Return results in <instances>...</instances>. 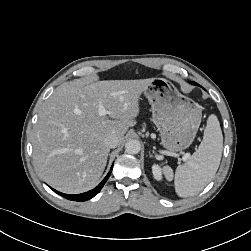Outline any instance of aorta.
I'll list each match as a JSON object with an SVG mask.
<instances>
[{
  "mask_svg": "<svg viewBox=\"0 0 251 251\" xmlns=\"http://www.w3.org/2000/svg\"><path fill=\"white\" fill-rule=\"evenodd\" d=\"M141 149V144L136 139H130L125 144V151L128 154H138Z\"/></svg>",
  "mask_w": 251,
  "mask_h": 251,
  "instance_id": "aorta-1",
  "label": "aorta"
}]
</instances>
